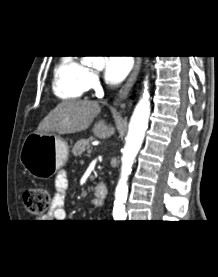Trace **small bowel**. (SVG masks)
Here are the masks:
<instances>
[{"mask_svg":"<svg viewBox=\"0 0 218 277\" xmlns=\"http://www.w3.org/2000/svg\"><path fill=\"white\" fill-rule=\"evenodd\" d=\"M55 194L52 199L50 211L44 216V220H55L63 222L67 213L65 207L66 190L68 188V179L65 171H60L54 181Z\"/></svg>","mask_w":218,"mask_h":277,"instance_id":"1","label":"small bowel"}]
</instances>
